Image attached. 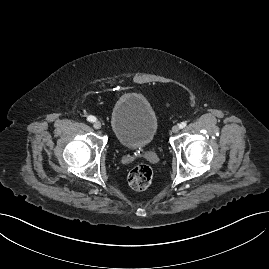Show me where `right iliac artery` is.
Masks as SVG:
<instances>
[{
    "label": "right iliac artery",
    "instance_id": "obj_1",
    "mask_svg": "<svg viewBox=\"0 0 269 269\" xmlns=\"http://www.w3.org/2000/svg\"><path fill=\"white\" fill-rule=\"evenodd\" d=\"M87 120L90 121V122H95L96 118L94 116H88Z\"/></svg>",
    "mask_w": 269,
    "mask_h": 269
}]
</instances>
